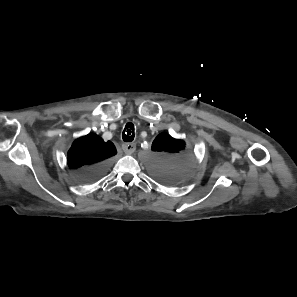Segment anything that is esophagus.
I'll use <instances>...</instances> for the list:
<instances>
[{
	"label": "esophagus",
	"instance_id": "34e87169",
	"mask_svg": "<svg viewBox=\"0 0 297 297\" xmlns=\"http://www.w3.org/2000/svg\"><path fill=\"white\" fill-rule=\"evenodd\" d=\"M122 149L126 154H132L136 149V145L135 143H123Z\"/></svg>",
	"mask_w": 297,
	"mask_h": 297
}]
</instances>
